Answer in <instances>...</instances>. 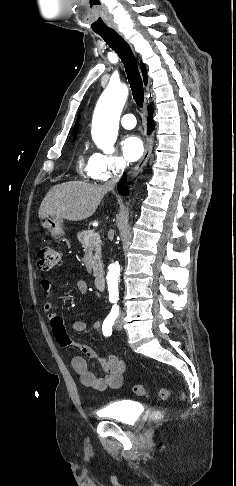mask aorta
I'll return each mask as SVG.
<instances>
[{
	"label": "aorta",
	"instance_id": "1",
	"mask_svg": "<svg viewBox=\"0 0 236 486\" xmlns=\"http://www.w3.org/2000/svg\"><path fill=\"white\" fill-rule=\"evenodd\" d=\"M127 96L128 88L126 85L109 83L97 102L91 133L97 147L106 154L114 152L119 118ZM119 276V263L110 264L107 274L109 296L118 295Z\"/></svg>",
	"mask_w": 236,
	"mask_h": 486
}]
</instances>
